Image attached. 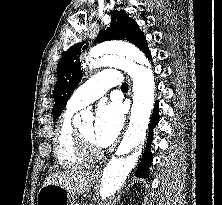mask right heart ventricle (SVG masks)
<instances>
[{"label":"right heart ventricle","instance_id":"obj_1","mask_svg":"<svg viewBox=\"0 0 222 205\" xmlns=\"http://www.w3.org/2000/svg\"><path fill=\"white\" fill-rule=\"evenodd\" d=\"M75 111L67 106L57 125L54 139V157L60 166L66 168H80L85 163L77 150L74 136L72 116Z\"/></svg>","mask_w":222,"mask_h":205}]
</instances>
